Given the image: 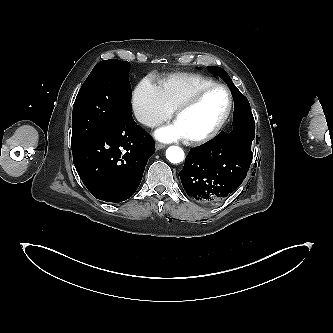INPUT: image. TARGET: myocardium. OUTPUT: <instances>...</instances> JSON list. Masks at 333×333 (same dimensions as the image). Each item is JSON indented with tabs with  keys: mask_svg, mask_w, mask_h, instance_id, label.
<instances>
[{
	"mask_svg": "<svg viewBox=\"0 0 333 333\" xmlns=\"http://www.w3.org/2000/svg\"><path fill=\"white\" fill-rule=\"evenodd\" d=\"M221 88L224 89L228 96V106L227 109L221 118V120L215 125L213 129H211L209 132L192 138H186L188 143L192 145H201L204 143H207L214 138H216L219 133L222 131V129L225 127L226 123L228 122L234 105V98L231 90L228 86L222 83H213L207 86L202 87L198 91H196L192 96H190L187 100H185L183 103H181L176 109L174 113V120L176 121L181 114L186 112L187 110L194 107L208 92L211 90Z\"/></svg>",
	"mask_w": 333,
	"mask_h": 333,
	"instance_id": "myocardium-1",
	"label": "myocardium"
}]
</instances>
